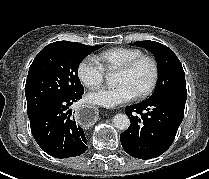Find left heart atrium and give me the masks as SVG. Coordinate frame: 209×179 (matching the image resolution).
<instances>
[{
	"label": "left heart atrium",
	"instance_id": "obj_1",
	"mask_svg": "<svg viewBox=\"0 0 209 179\" xmlns=\"http://www.w3.org/2000/svg\"><path fill=\"white\" fill-rule=\"evenodd\" d=\"M135 92L126 84H119L112 88H104L88 94L89 102L107 108H113L132 100Z\"/></svg>",
	"mask_w": 209,
	"mask_h": 179
}]
</instances>
